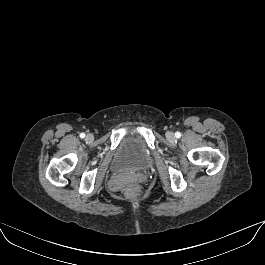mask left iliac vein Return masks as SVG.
Returning a JSON list of instances; mask_svg holds the SVG:
<instances>
[{"label": "left iliac vein", "instance_id": "1", "mask_svg": "<svg viewBox=\"0 0 265 265\" xmlns=\"http://www.w3.org/2000/svg\"><path fill=\"white\" fill-rule=\"evenodd\" d=\"M166 137L168 140H171V141L175 139L174 133L172 132H167Z\"/></svg>", "mask_w": 265, "mask_h": 265}]
</instances>
